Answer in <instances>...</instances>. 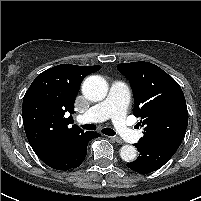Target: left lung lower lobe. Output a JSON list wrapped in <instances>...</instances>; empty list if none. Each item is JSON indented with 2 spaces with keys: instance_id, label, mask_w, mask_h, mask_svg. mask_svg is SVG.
<instances>
[{
  "instance_id": "obj_1",
  "label": "left lung lower lobe",
  "mask_w": 201,
  "mask_h": 201,
  "mask_svg": "<svg viewBox=\"0 0 201 201\" xmlns=\"http://www.w3.org/2000/svg\"><path fill=\"white\" fill-rule=\"evenodd\" d=\"M180 144L174 141L156 143L138 142L134 146L137 148L139 156L136 161L128 163L127 167L140 174L153 172L169 161Z\"/></svg>"
}]
</instances>
